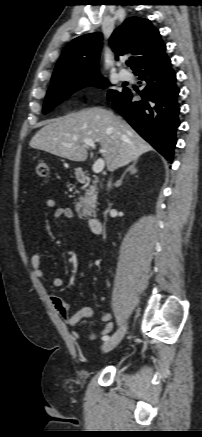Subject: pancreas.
I'll return each instance as SVG.
<instances>
[{"mask_svg":"<svg viewBox=\"0 0 202 437\" xmlns=\"http://www.w3.org/2000/svg\"><path fill=\"white\" fill-rule=\"evenodd\" d=\"M97 202V187L92 185L85 190L84 195L78 198L75 203V210L78 212L79 218L87 217L90 214L91 207H94Z\"/></svg>","mask_w":202,"mask_h":437,"instance_id":"pancreas-1","label":"pancreas"}]
</instances>
